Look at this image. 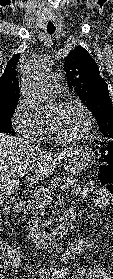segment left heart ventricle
I'll use <instances>...</instances> for the list:
<instances>
[{"label":"left heart ventricle","instance_id":"b2bd125f","mask_svg":"<svg viewBox=\"0 0 113 279\" xmlns=\"http://www.w3.org/2000/svg\"><path fill=\"white\" fill-rule=\"evenodd\" d=\"M46 121L50 122L63 136L75 137L86 129V117L81 109L75 105L59 109L54 106L47 115Z\"/></svg>","mask_w":113,"mask_h":279}]
</instances>
